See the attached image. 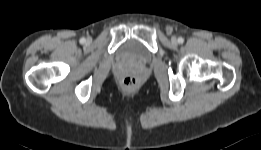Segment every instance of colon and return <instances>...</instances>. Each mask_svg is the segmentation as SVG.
Instances as JSON below:
<instances>
[{
	"label": "colon",
	"instance_id": "colon-1",
	"mask_svg": "<svg viewBox=\"0 0 261 150\" xmlns=\"http://www.w3.org/2000/svg\"><path fill=\"white\" fill-rule=\"evenodd\" d=\"M122 86L126 91H134L138 87V80L134 76H127L122 80Z\"/></svg>",
	"mask_w": 261,
	"mask_h": 150
}]
</instances>
